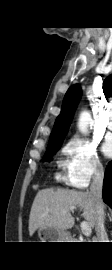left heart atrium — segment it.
<instances>
[{
	"instance_id": "obj_1",
	"label": "left heart atrium",
	"mask_w": 112,
	"mask_h": 270,
	"mask_svg": "<svg viewBox=\"0 0 112 270\" xmlns=\"http://www.w3.org/2000/svg\"><path fill=\"white\" fill-rule=\"evenodd\" d=\"M102 150L105 156H112V139L106 140V142L103 144Z\"/></svg>"
}]
</instances>
